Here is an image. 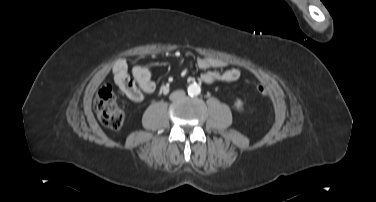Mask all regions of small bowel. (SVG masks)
Listing matches in <instances>:
<instances>
[{
	"mask_svg": "<svg viewBox=\"0 0 376 202\" xmlns=\"http://www.w3.org/2000/svg\"><path fill=\"white\" fill-rule=\"evenodd\" d=\"M197 66L204 71L201 80L206 84L235 82L241 75L238 68L230 66L228 61L218 57H200ZM112 72L116 86L132 102H140L143 93H152L156 89L154 77L145 66H135L130 70L125 60L118 59L113 65Z\"/></svg>",
	"mask_w": 376,
	"mask_h": 202,
	"instance_id": "small-bowel-1",
	"label": "small bowel"
}]
</instances>
